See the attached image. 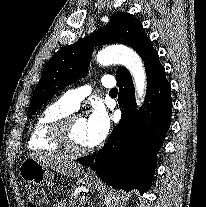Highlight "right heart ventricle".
Wrapping results in <instances>:
<instances>
[{"label": "right heart ventricle", "mask_w": 206, "mask_h": 207, "mask_svg": "<svg viewBox=\"0 0 206 207\" xmlns=\"http://www.w3.org/2000/svg\"><path fill=\"white\" fill-rule=\"evenodd\" d=\"M73 111L63 98L46 105L35 119L30 131L28 147L33 151L60 152L58 146L51 139L50 129L55 121Z\"/></svg>", "instance_id": "obj_1"}]
</instances>
